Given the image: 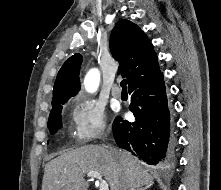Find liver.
<instances>
[{
	"instance_id": "1",
	"label": "liver",
	"mask_w": 221,
	"mask_h": 190,
	"mask_svg": "<svg viewBox=\"0 0 221 190\" xmlns=\"http://www.w3.org/2000/svg\"><path fill=\"white\" fill-rule=\"evenodd\" d=\"M119 156L103 146L86 145L63 152L45 165L42 190H87L85 174L99 172L109 183L110 190H121L126 181L130 190L152 185L153 177L140 160L127 151L118 150Z\"/></svg>"
}]
</instances>
